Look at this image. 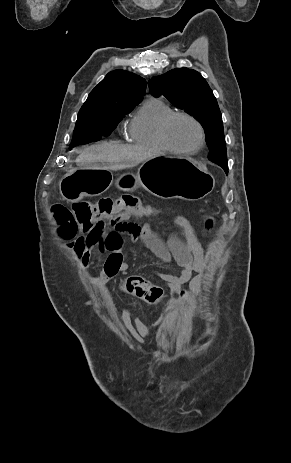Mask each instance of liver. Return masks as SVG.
I'll return each mask as SVG.
<instances>
[{"instance_id":"1","label":"liver","mask_w":291,"mask_h":463,"mask_svg":"<svg viewBox=\"0 0 291 463\" xmlns=\"http://www.w3.org/2000/svg\"><path fill=\"white\" fill-rule=\"evenodd\" d=\"M161 154L156 149L102 142L83 149L76 162L81 168L120 170L137 166Z\"/></svg>"}]
</instances>
